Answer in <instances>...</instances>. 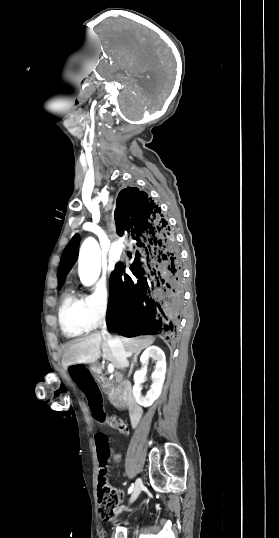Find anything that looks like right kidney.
I'll return each mask as SVG.
<instances>
[{
	"label": "right kidney",
	"instance_id": "1",
	"mask_svg": "<svg viewBox=\"0 0 279 538\" xmlns=\"http://www.w3.org/2000/svg\"><path fill=\"white\" fill-rule=\"evenodd\" d=\"M150 358H152V360H156L155 370L151 376L153 384L149 392H147V396H142V388L140 384H142L143 378L147 372L144 366L147 364ZM140 362L143 368L134 374L135 384L133 386V396L137 404L144 406V408H148V406H152L153 402H155V400H157L161 394L162 386L165 380L166 358L161 348H158V346H150V348H147V350L143 352Z\"/></svg>",
	"mask_w": 279,
	"mask_h": 538
}]
</instances>
